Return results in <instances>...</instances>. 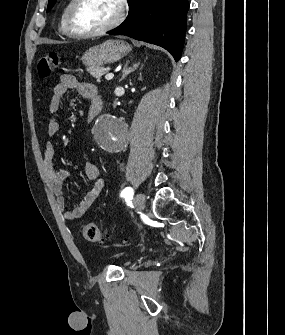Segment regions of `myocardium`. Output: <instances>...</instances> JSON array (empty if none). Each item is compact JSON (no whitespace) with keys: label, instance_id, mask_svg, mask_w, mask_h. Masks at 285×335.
<instances>
[{"label":"myocardium","instance_id":"obj_1","mask_svg":"<svg viewBox=\"0 0 285 335\" xmlns=\"http://www.w3.org/2000/svg\"><path fill=\"white\" fill-rule=\"evenodd\" d=\"M86 2L87 1H74L70 8L68 16V28L73 36L80 38H92L100 36L115 28L124 18L125 5L127 1H114L116 13L113 19L101 29L86 30L78 23L79 10Z\"/></svg>","mask_w":285,"mask_h":335}]
</instances>
